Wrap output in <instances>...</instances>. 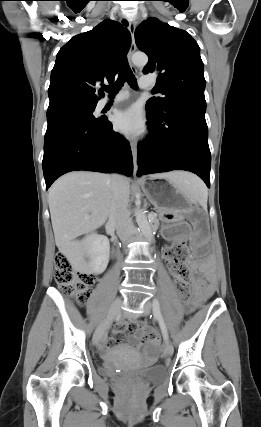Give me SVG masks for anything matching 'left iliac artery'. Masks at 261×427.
<instances>
[{"label":"left iliac artery","instance_id":"1","mask_svg":"<svg viewBox=\"0 0 261 427\" xmlns=\"http://www.w3.org/2000/svg\"><path fill=\"white\" fill-rule=\"evenodd\" d=\"M153 314L154 317L158 320L159 322V326L161 328L164 340H168V332H167V327L166 324L164 322V318L162 316L161 310H160V304L159 301L157 299L153 300Z\"/></svg>","mask_w":261,"mask_h":427}]
</instances>
